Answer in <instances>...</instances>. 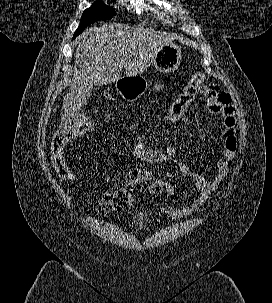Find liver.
<instances>
[{"mask_svg":"<svg viewBox=\"0 0 272 303\" xmlns=\"http://www.w3.org/2000/svg\"><path fill=\"white\" fill-rule=\"evenodd\" d=\"M173 37L152 29L123 24L93 26L77 39L70 91L63 99L61 128L77 127V116L94 86L127 77H136L154 62L158 51Z\"/></svg>","mask_w":272,"mask_h":303,"instance_id":"1","label":"liver"}]
</instances>
